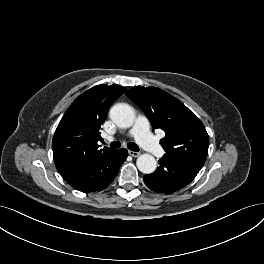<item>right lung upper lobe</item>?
<instances>
[{"mask_svg":"<svg viewBox=\"0 0 264 264\" xmlns=\"http://www.w3.org/2000/svg\"><path fill=\"white\" fill-rule=\"evenodd\" d=\"M126 88L97 85L78 96L62 117L53 137L56 168L63 177L74 173L112 151L99 149L100 127L111 104Z\"/></svg>","mask_w":264,"mask_h":264,"instance_id":"obj_1","label":"right lung upper lobe"}]
</instances>
